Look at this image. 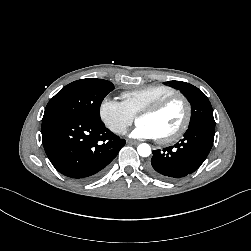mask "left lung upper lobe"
Here are the masks:
<instances>
[{"instance_id": "1", "label": "left lung upper lobe", "mask_w": 251, "mask_h": 251, "mask_svg": "<svg viewBox=\"0 0 251 251\" xmlns=\"http://www.w3.org/2000/svg\"><path fill=\"white\" fill-rule=\"evenodd\" d=\"M168 83L181 89L189 98L192 106L189 127L198 123L215 124L212 106L201 90L182 81H168Z\"/></svg>"}]
</instances>
